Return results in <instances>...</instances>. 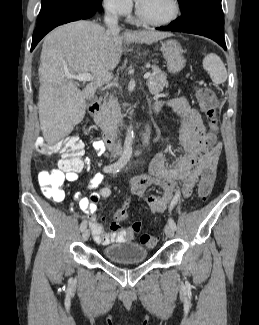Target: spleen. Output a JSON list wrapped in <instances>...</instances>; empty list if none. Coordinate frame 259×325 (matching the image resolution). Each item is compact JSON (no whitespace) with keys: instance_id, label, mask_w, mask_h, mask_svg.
I'll use <instances>...</instances> for the list:
<instances>
[{"instance_id":"3e777b00","label":"spleen","mask_w":259,"mask_h":325,"mask_svg":"<svg viewBox=\"0 0 259 325\" xmlns=\"http://www.w3.org/2000/svg\"><path fill=\"white\" fill-rule=\"evenodd\" d=\"M203 68L208 71L214 84H223L227 79L225 65L218 55L210 53L203 59Z\"/></svg>"}]
</instances>
